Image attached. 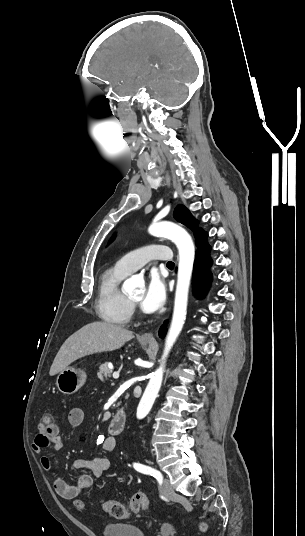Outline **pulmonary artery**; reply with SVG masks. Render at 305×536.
Returning a JSON list of instances; mask_svg holds the SVG:
<instances>
[{"instance_id": "obj_1", "label": "pulmonary artery", "mask_w": 305, "mask_h": 536, "mask_svg": "<svg viewBox=\"0 0 305 536\" xmlns=\"http://www.w3.org/2000/svg\"><path fill=\"white\" fill-rule=\"evenodd\" d=\"M172 257L173 254L169 246L163 244L159 245L158 242L153 241L146 247H141L140 249L123 256L116 262L115 267L121 272L129 275L144 266L150 260L158 259L160 261L168 262Z\"/></svg>"}]
</instances>
